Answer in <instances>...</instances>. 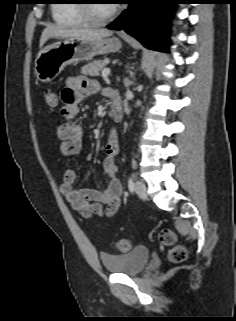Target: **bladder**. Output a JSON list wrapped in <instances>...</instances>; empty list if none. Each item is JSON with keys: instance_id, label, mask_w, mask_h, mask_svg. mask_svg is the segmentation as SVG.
Instances as JSON below:
<instances>
[{"instance_id": "bladder-1", "label": "bladder", "mask_w": 236, "mask_h": 321, "mask_svg": "<svg viewBox=\"0 0 236 321\" xmlns=\"http://www.w3.org/2000/svg\"><path fill=\"white\" fill-rule=\"evenodd\" d=\"M151 252L146 246H137L124 254H102L106 271L113 274L137 275L147 265Z\"/></svg>"}]
</instances>
